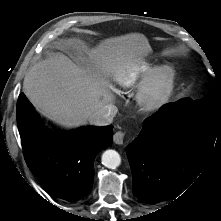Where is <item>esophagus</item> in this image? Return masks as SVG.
<instances>
[{"instance_id": "esophagus-1", "label": "esophagus", "mask_w": 221, "mask_h": 221, "mask_svg": "<svg viewBox=\"0 0 221 221\" xmlns=\"http://www.w3.org/2000/svg\"><path fill=\"white\" fill-rule=\"evenodd\" d=\"M124 137H125V133L122 132V131H118L114 134L113 136V141L118 144V145H121L123 144V141H124Z\"/></svg>"}]
</instances>
